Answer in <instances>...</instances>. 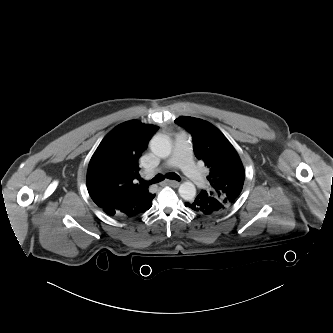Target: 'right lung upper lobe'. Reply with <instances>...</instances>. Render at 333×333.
Returning <instances> with one entry per match:
<instances>
[{
    "label": "right lung upper lobe",
    "mask_w": 333,
    "mask_h": 333,
    "mask_svg": "<svg viewBox=\"0 0 333 333\" xmlns=\"http://www.w3.org/2000/svg\"><path fill=\"white\" fill-rule=\"evenodd\" d=\"M158 128L131 120L101 141L87 171V189L99 208H115L133 217L152 206L155 195L140 178L138 159Z\"/></svg>",
    "instance_id": "right-lung-upper-lobe-1"
}]
</instances>
